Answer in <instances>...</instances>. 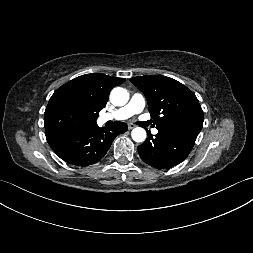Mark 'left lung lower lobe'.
<instances>
[{"instance_id":"left-lung-lower-lobe-1","label":"left lung lower lobe","mask_w":253,"mask_h":253,"mask_svg":"<svg viewBox=\"0 0 253 253\" xmlns=\"http://www.w3.org/2000/svg\"><path fill=\"white\" fill-rule=\"evenodd\" d=\"M196 138L164 131H158L153 137L148 132V138L138 146V152L145 163L157 169H169L186 159Z\"/></svg>"}]
</instances>
